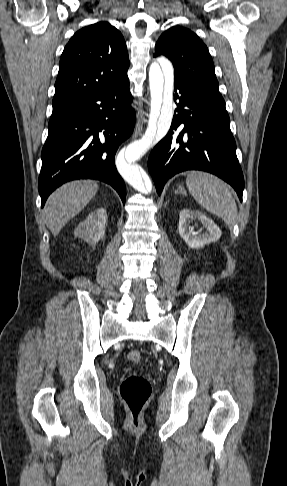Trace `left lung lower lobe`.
I'll return each instance as SVG.
<instances>
[{
	"mask_svg": "<svg viewBox=\"0 0 287 486\" xmlns=\"http://www.w3.org/2000/svg\"><path fill=\"white\" fill-rule=\"evenodd\" d=\"M174 91L177 108L170 130L148 159L158 194L175 174L203 170L228 182L242 201L243 173L225 106L181 78H175Z\"/></svg>",
	"mask_w": 287,
	"mask_h": 486,
	"instance_id": "0a47b994",
	"label": "left lung lower lobe"
}]
</instances>
